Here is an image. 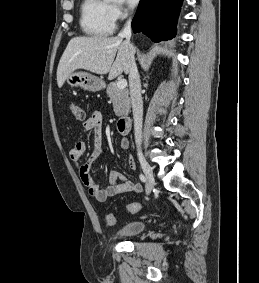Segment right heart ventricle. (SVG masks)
<instances>
[{"label":"right heart ventricle","instance_id":"1","mask_svg":"<svg viewBox=\"0 0 259 283\" xmlns=\"http://www.w3.org/2000/svg\"><path fill=\"white\" fill-rule=\"evenodd\" d=\"M80 24L93 37H107L115 29V18L108 0H83Z\"/></svg>","mask_w":259,"mask_h":283}]
</instances>
